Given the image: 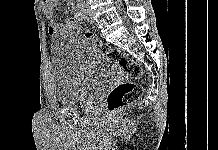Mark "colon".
Segmentation results:
<instances>
[{"mask_svg":"<svg viewBox=\"0 0 218 150\" xmlns=\"http://www.w3.org/2000/svg\"><path fill=\"white\" fill-rule=\"evenodd\" d=\"M66 25L72 34L81 32V26L74 18H69ZM84 37L87 42L104 54L110 62L117 64L128 78L127 80L116 83L108 92L106 98L108 110L111 113L116 112L137 100L142 93V87L137 83L143 75L140 64L127 58L119 49L113 48L101 41L92 31H85Z\"/></svg>","mask_w":218,"mask_h":150,"instance_id":"obj_1","label":"colon"}]
</instances>
